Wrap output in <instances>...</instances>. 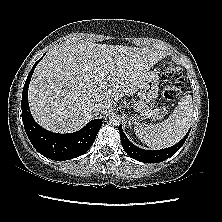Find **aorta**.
Returning a JSON list of instances; mask_svg holds the SVG:
<instances>
[{"label":"aorta","instance_id":"762f6f07","mask_svg":"<svg viewBox=\"0 0 222 222\" xmlns=\"http://www.w3.org/2000/svg\"><path fill=\"white\" fill-rule=\"evenodd\" d=\"M121 116L118 113H111L109 117V122L112 125L118 126L121 123Z\"/></svg>","mask_w":222,"mask_h":222}]
</instances>
